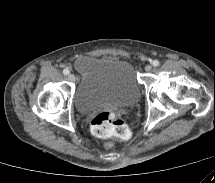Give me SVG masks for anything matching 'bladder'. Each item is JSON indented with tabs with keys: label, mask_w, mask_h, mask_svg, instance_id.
<instances>
[{
	"label": "bladder",
	"mask_w": 215,
	"mask_h": 183,
	"mask_svg": "<svg viewBox=\"0 0 215 183\" xmlns=\"http://www.w3.org/2000/svg\"><path fill=\"white\" fill-rule=\"evenodd\" d=\"M75 70L79 84L74 93V104L80 113L131 106L140 97V84L128 61L84 56L76 60Z\"/></svg>",
	"instance_id": "1"
}]
</instances>
